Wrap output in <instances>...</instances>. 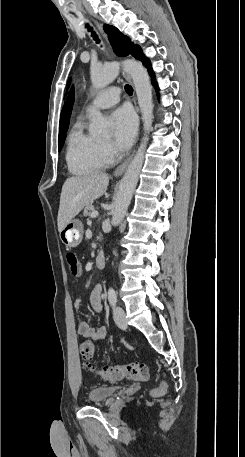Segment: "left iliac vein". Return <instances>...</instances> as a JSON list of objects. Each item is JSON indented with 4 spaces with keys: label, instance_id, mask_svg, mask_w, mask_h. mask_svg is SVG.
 Returning <instances> with one entry per match:
<instances>
[{
    "label": "left iliac vein",
    "instance_id": "obj_1",
    "mask_svg": "<svg viewBox=\"0 0 245 457\" xmlns=\"http://www.w3.org/2000/svg\"><path fill=\"white\" fill-rule=\"evenodd\" d=\"M113 318L118 327H120L121 329H126L127 320L125 317V311L122 307L117 306L114 308Z\"/></svg>",
    "mask_w": 245,
    "mask_h": 457
}]
</instances>
